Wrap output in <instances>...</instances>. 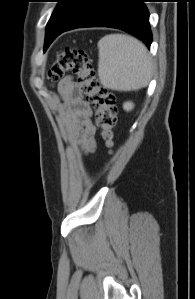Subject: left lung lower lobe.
Returning <instances> with one entry per match:
<instances>
[{
    "mask_svg": "<svg viewBox=\"0 0 195 299\" xmlns=\"http://www.w3.org/2000/svg\"><path fill=\"white\" fill-rule=\"evenodd\" d=\"M146 0H88L77 17L66 27L54 31L45 49L64 31L83 27H111L126 31L149 48L152 33Z\"/></svg>",
    "mask_w": 195,
    "mask_h": 299,
    "instance_id": "left-lung-lower-lobe-1",
    "label": "left lung lower lobe"
}]
</instances>
